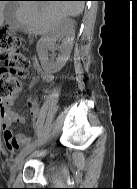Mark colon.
<instances>
[{
    "mask_svg": "<svg viewBox=\"0 0 137 189\" xmlns=\"http://www.w3.org/2000/svg\"><path fill=\"white\" fill-rule=\"evenodd\" d=\"M0 103L9 101L22 87V81L35 64L23 52L20 38L0 30Z\"/></svg>",
    "mask_w": 137,
    "mask_h": 189,
    "instance_id": "colon-1",
    "label": "colon"
}]
</instances>
